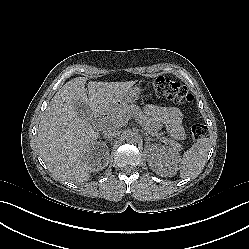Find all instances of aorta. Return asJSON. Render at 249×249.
<instances>
[{
	"label": "aorta",
	"instance_id": "1",
	"mask_svg": "<svg viewBox=\"0 0 249 249\" xmlns=\"http://www.w3.org/2000/svg\"><path fill=\"white\" fill-rule=\"evenodd\" d=\"M138 139H139V135L135 132L130 131L126 134V141L129 143L137 142Z\"/></svg>",
	"mask_w": 249,
	"mask_h": 249
}]
</instances>
